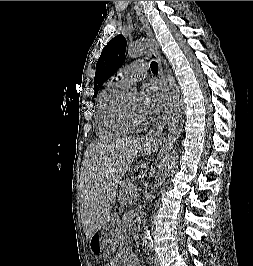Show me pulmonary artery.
Segmentation results:
<instances>
[{"mask_svg": "<svg viewBox=\"0 0 253 266\" xmlns=\"http://www.w3.org/2000/svg\"><path fill=\"white\" fill-rule=\"evenodd\" d=\"M146 74L147 64L143 61H135L119 70L116 79L128 87L144 78Z\"/></svg>", "mask_w": 253, "mask_h": 266, "instance_id": "pulmonary-artery-1", "label": "pulmonary artery"}]
</instances>
